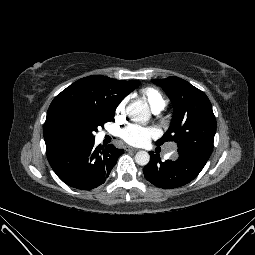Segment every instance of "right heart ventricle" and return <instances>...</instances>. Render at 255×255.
Instances as JSON below:
<instances>
[{
    "mask_svg": "<svg viewBox=\"0 0 255 255\" xmlns=\"http://www.w3.org/2000/svg\"><path fill=\"white\" fill-rule=\"evenodd\" d=\"M140 96L149 104L153 111L162 110L167 105V100L156 88L146 87L140 91Z\"/></svg>",
    "mask_w": 255,
    "mask_h": 255,
    "instance_id": "right-heart-ventricle-1",
    "label": "right heart ventricle"
}]
</instances>
